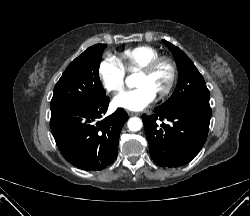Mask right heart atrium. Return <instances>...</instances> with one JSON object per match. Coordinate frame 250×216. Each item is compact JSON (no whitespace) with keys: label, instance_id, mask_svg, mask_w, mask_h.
<instances>
[{"label":"right heart atrium","instance_id":"d8ad5b80","mask_svg":"<svg viewBox=\"0 0 250 216\" xmlns=\"http://www.w3.org/2000/svg\"><path fill=\"white\" fill-rule=\"evenodd\" d=\"M100 77L108 91L118 92L125 86L126 70L116 58H106L100 65Z\"/></svg>","mask_w":250,"mask_h":216}]
</instances>
